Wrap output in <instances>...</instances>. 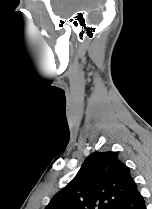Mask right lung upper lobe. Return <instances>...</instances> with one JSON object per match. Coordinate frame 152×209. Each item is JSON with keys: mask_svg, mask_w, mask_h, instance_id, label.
<instances>
[{"mask_svg": "<svg viewBox=\"0 0 152 209\" xmlns=\"http://www.w3.org/2000/svg\"><path fill=\"white\" fill-rule=\"evenodd\" d=\"M137 189L116 152H94L45 209H116Z\"/></svg>", "mask_w": 152, "mask_h": 209, "instance_id": "1", "label": "right lung upper lobe"}]
</instances>
